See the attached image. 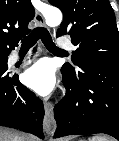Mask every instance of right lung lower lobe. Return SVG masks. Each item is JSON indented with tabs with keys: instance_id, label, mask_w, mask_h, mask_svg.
I'll list each match as a JSON object with an SVG mask.
<instances>
[{
	"instance_id": "1",
	"label": "right lung lower lobe",
	"mask_w": 119,
	"mask_h": 141,
	"mask_svg": "<svg viewBox=\"0 0 119 141\" xmlns=\"http://www.w3.org/2000/svg\"><path fill=\"white\" fill-rule=\"evenodd\" d=\"M6 70L0 69V126L44 138L42 101L20 83L18 75H11Z\"/></svg>"
}]
</instances>
